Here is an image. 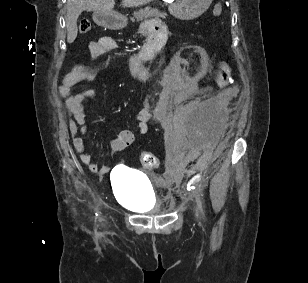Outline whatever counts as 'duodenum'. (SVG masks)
<instances>
[{
  "label": "duodenum",
  "mask_w": 308,
  "mask_h": 283,
  "mask_svg": "<svg viewBox=\"0 0 308 283\" xmlns=\"http://www.w3.org/2000/svg\"><path fill=\"white\" fill-rule=\"evenodd\" d=\"M104 23H108L107 20H103ZM165 40V33L160 32L158 34V38H152L150 42L148 43V49L149 51L147 52L146 50H143L141 52V55L144 57V60L146 62H149L151 60V57L154 55V52Z\"/></svg>",
  "instance_id": "obj_1"
}]
</instances>
